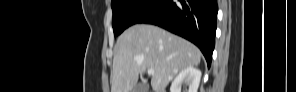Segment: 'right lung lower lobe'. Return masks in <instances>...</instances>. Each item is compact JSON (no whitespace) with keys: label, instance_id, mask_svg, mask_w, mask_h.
<instances>
[{"label":"right lung lower lobe","instance_id":"obj_1","mask_svg":"<svg viewBox=\"0 0 296 92\" xmlns=\"http://www.w3.org/2000/svg\"><path fill=\"white\" fill-rule=\"evenodd\" d=\"M217 12V0H160L137 23L158 25L193 42L210 67Z\"/></svg>","mask_w":296,"mask_h":92}]
</instances>
